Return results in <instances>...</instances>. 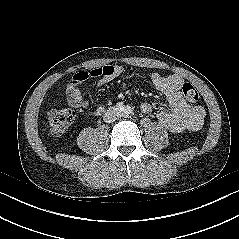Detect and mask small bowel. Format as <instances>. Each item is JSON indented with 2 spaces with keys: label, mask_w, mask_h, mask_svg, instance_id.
Listing matches in <instances>:
<instances>
[{
  "label": "small bowel",
  "mask_w": 239,
  "mask_h": 239,
  "mask_svg": "<svg viewBox=\"0 0 239 239\" xmlns=\"http://www.w3.org/2000/svg\"><path fill=\"white\" fill-rule=\"evenodd\" d=\"M124 72L121 65H105L91 71H79L75 73L67 84L66 94L69 105L75 109L86 110L88 115L96 116L103 112L104 106L93 109L82 97L80 86L91 77L97 78L98 85H106L119 78ZM152 86L162 93L168 100L170 110H161L157 113L158 121L169 131L180 133L184 131L199 130L206 117L205 109L201 105L189 104L182 94L183 78L178 74L161 75L154 72L150 76ZM140 109L148 114L152 111L150 103L144 102Z\"/></svg>",
  "instance_id": "c3829d8e"
}]
</instances>
